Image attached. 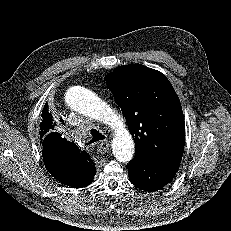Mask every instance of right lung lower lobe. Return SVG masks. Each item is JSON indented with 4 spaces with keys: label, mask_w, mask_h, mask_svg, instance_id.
Here are the masks:
<instances>
[{
    "label": "right lung lower lobe",
    "mask_w": 231,
    "mask_h": 231,
    "mask_svg": "<svg viewBox=\"0 0 231 231\" xmlns=\"http://www.w3.org/2000/svg\"><path fill=\"white\" fill-rule=\"evenodd\" d=\"M90 159H91V158H90ZM92 166H93V174H92V179L90 180L89 184L92 182L93 176L96 174V169H95V167H94L93 164H92Z\"/></svg>",
    "instance_id": "1"
}]
</instances>
